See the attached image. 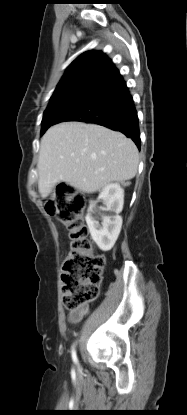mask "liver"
<instances>
[{
	"mask_svg": "<svg viewBox=\"0 0 187 415\" xmlns=\"http://www.w3.org/2000/svg\"><path fill=\"white\" fill-rule=\"evenodd\" d=\"M138 149L122 133L96 124L63 122L50 127L40 143L38 190L42 198L58 182L94 193L111 182L135 177Z\"/></svg>",
	"mask_w": 187,
	"mask_h": 415,
	"instance_id": "1",
	"label": "liver"
}]
</instances>
